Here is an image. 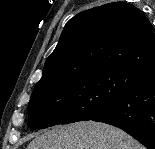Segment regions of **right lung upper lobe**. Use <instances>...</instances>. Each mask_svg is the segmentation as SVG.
Masks as SVG:
<instances>
[{
    "mask_svg": "<svg viewBox=\"0 0 155 149\" xmlns=\"http://www.w3.org/2000/svg\"><path fill=\"white\" fill-rule=\"evenodd\" d=\"M109 69L155 74L153 26L141 10L126 2L95 7L71 18L45 62L40 81Z\"/></svg>",
    "mask_w": 155,
    "mask_h": 149,
    "instance_id": "right-lung-upper-lobe-1",
    "label": "right lung upper lobe"
}]
</instances>
